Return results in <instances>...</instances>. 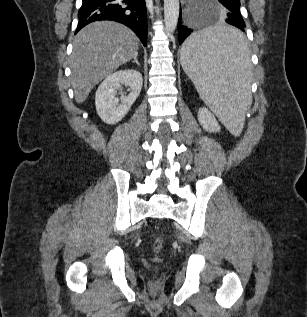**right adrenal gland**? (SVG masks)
<instances>
[{
  "label": "right adrenal gland",
  "mask_w": 307,
  "mask_h": 317,
  "mask_svg": "<svg viewBox=\"0 0 307 317\" xmlns=\"http://www.w3.org/2000/svg\"><path fill=\"white\" fill-rule=\"evenodd\" d=\"M132 63H136L138 66H140V63L137 60V55L134 56Z\"/></svg>",
  "instance_id": "right-adrenal-gland-1"
}]
</instances>
